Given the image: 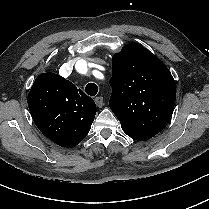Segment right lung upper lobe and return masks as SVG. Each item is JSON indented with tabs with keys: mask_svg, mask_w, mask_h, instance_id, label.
<instances>
[{
	"mask_svg": "<svg viewBox=\"0 0 209 209\" xmlns=\"http://www.w3.org/2000/svg\"><path fill=\"white\" fill-rule=\"evenodd\" d=\"M28 107L43 135L66 148L87 136L96 114L92 98L54 73L36 78L28 94Z\"/></svg>",
	"mask_w": 209,
	"mask_h": 209,
	"instance_id": "right-lung-upper-lobe-1",
	"label": "right lung upper lobe"
}]
</instances>
